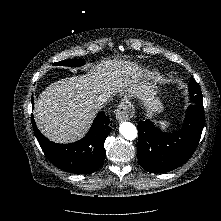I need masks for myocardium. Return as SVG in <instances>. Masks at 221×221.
<instances>
[{
  "label": "myocardium",
  "mask_w": 221,
  "mask_h": 221,
  "mask_svg": "<svg viewBox=\"0 0 221 221\" xmlns=\"http://www.w3.org/2000/svg\"><path fill=\"white\" fill-rule=\"evenodd\" d=\"M151 100H152V98H151V97L147 99V101H148V102H150Z\"/></svg>",
  "instance_id": "myocardium-1"
}]
</instances>
